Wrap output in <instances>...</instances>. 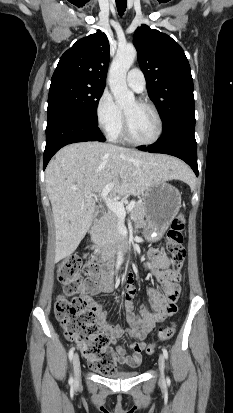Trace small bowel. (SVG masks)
<instances>
[{"instance_id": "1", "label": "small bowel", "mask_w": 233, "mask_h": 413, "mask_svg": "<svg viewBox=\"0 0 233 413\" xmlns=\"http://www.w3.org/2000/svg\"><path fill=\"white\" fill-rule=\"evenodd\" d=\"M149 263L145 265V269L156 276L162 284L160 288L148 289L150 302L143 304L138 312L135 311L133 297L135 288L132 285V279L128 280L126 291L124 293L125 300L123 303L126 312V319L129 324L127 330H123L119 325L111 324L107 319V311L100 303L95 301L91 295H85L88 306L93 311L97 318L98 325L102 333L109 337L110 342L114 345V353L116 355V363L129 367H137L142 361V351L145 348V338L148 333L154 328L157 323L162 322L167 316L172 315L175 311L170 307H175L179 300L180 276L173 277L169 267L172 264L171 259L159 249H151L149 251ZM114 284L111 274L107 273L102 276L93 294L100 292L109 293L113 290ZM124 335L135 338L129 347L132 350L131 354H127L125 348L118 344V340Z\"/></svg>"}]
</instances>
